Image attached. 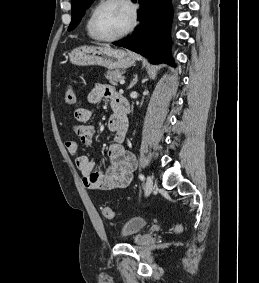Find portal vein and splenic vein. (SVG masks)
Listing matches in <instances>:
<instances>
[{"label": "portal vein and splenic vein", "mask_w": 259, "mask_h": 283, "mask_svg": "<svg viewBox=\"0 0 259 283\" xmlns=\"http://www.w3.org/2000/svg\"><path fill=\"white\" fill-rule=\"evenodd\" d=\"M124 83H125V78L122 77V78L120 79V84H124Z\"/></svg>", "instance_id": "1"}]
</instances>
